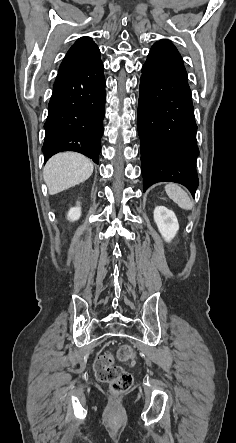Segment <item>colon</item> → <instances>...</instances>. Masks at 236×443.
<instances>
[{
    "mask_svg": "<svg viewBox=\"0 0 236 443\" xmlns=\"http://www.w3.org/2000/svg\"><path fill=\"white\" fill-rule=\"evenodd\" d=\"M118 357L122 361L132 362L136 357V352L131 345L124 344L118 350ZM94 370L97 378L107 383L113 393H124L132 386V375L122 367L114 365L111 355L100 356L95 361Z\"/></svg>",
    "mask_w": 236,
    "mask_h": 443,
    "instance_id": "obj_1",
    "label": "colon"
}]
</instances>
